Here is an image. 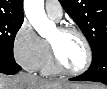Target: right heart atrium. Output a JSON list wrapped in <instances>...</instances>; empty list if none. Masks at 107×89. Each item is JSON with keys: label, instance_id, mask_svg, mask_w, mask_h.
Returning a JSON list of instances; mask_svg holds the SVG:
<instances>
[{"label": "right heart atrium", "instance_id": "1", "mask_svg": "<svg viewBox=\"0 0 107 89\" xmlns=\"http://www.w3.org/2000/svg\"><path fill=\"white\" fill-rule=\"evenodd\" d=\"M13 54L16 61L28 71L38 70L44 60L46 42L27 21L21 24L15 34Z\"/></svg>", "mask_w": 107, "mask_h": 89}]
</instances>
